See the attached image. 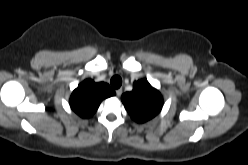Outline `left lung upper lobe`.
<instances>
[{
  "label": "left lung upper lobe",
  "mask_w": 248,
  "mask_h": 165,
  "mask_svg": "<svg viewBox=\"0 0 248 165\" xmlns=\"http://www.w3.org/2000/svg\"><path fill=\"white\" fill-rule=\"evenodd\" d=\"M131 118L143 123L155 117L162 108L163 98L145 79L134 82L133 90L121 97Z\"/></svg>",
  "instance_id": "obj_1"
}]
</instances>
